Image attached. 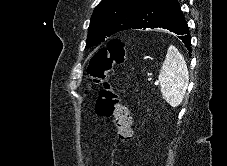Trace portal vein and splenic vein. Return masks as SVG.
<instances>
[{
	"mask_svg": "<svg viewBox=\"0 0 227 166\" xmlns=\"http://www.w3.org/2000/svg\"><path fill=\"white\" fill-rule=\"evenodd\" d=\"M154 84H155V85H158V84H159V81H156Z\"/></svg>",
	"mask_w": 227,
	"mask_h": 166,
	"instance_id": "portal-vein-and-splenic-vein-1",
	"label": "portal vein and splenic vein"
}]
</instances>
